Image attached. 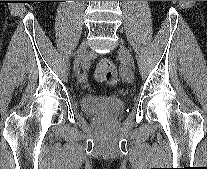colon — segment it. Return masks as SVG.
I'll list each match as a JSON object with an SVG mask.
<instances>
[{"label":"colon","mask_w":207,"mask_h":169,"mask_svg":"<svg viewBox=\"0 0 207 169\" xmlns=\"http://www.w3.org/2000/svg\"><path fill=\"white\" fill-rule=\"evenodd\" d=\"M95 78L108 86H117L120 78L114 63L108 58H100L95 69Z\"/></svg>","instance_id":"1"}]
</instances>
